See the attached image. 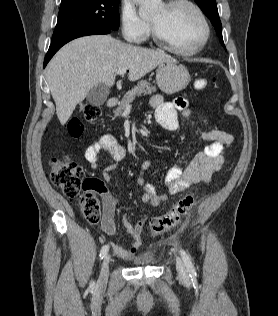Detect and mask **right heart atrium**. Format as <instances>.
Returning a JSON list of instances; mask_svg holds the SVG:
<instances>
[{
    "mask_svg": "<svg viewBox=\"0 0 278 316\" xmlns=\"http://www.w3.org/2000/svg\"><path fill=\"white\" fill-rule=\"evenodd\" d=\"M120 25L123 37L133 43L142 42L150 29L149 23L138 15L129 0H124L121 5Z\"/></svg>",
    "mask_w": 278,
    "mask_h": 316,
    "instance_id": "obj_1",
    "label": "right heart atrium"
}]
</instances>
